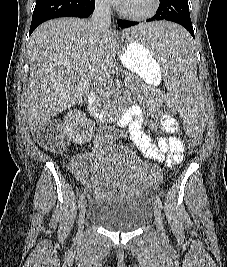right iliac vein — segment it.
<instances>
[{
  "instance_id": "obj_1",
  "label": "right iliac vein",
  "mask_w": 227,
  "mask_h": 267,
  "mask_svg": "<svg viewBox=\"0 0 227 267\" xmlns=\"http://www.w3.org/2000/svg\"><path fill=\"white\" fill-rule=\"evenodd\" d=\"M85 215H86V201L83 202V204L81 206L80 213H79L78 235H80V236H81V234L83 232Z\"/></svg>"
}]
</instances>
